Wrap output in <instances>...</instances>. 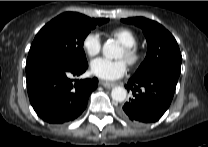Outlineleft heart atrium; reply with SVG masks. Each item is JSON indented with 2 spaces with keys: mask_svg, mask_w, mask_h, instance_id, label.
I'll return each instance as SVG.
<instances>
[{
  "mask_svg": "<svg viewBox=\"0 0 208 147\" xmlns=\"http://www.w3.org/2000/svg\"><path fill=\"white\" fill-rule=\"evenodd\" d=\"M91 72L95 76L112 81L122 77L127 70V62L124 59L109 60L97 58L91 62Z\"/></svg>",
  "mask_w": 208,
  "mask_h": 147,
  "instance_id": "obj_1",
  "label": "left heart atrium"
}]
</instances>
